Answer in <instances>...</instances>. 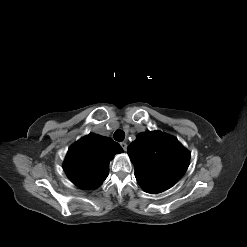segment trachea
I'll return each instance as SVG.
<instances>
[{
    "instance_id": "1",
    "label": "trachea",
    "mask_w": 247,
    "mask_h": 247,
    "mask_svg": "<svg viewBox=\"0 0 247 247\" xmlns=\"http://www.w3.org/2000/svg\"><path fill=\"white\" fill-rule=\"evenodd\" d=\"M124 138H125V133H124V131H122V130H116V131H115V133H114V139H115L116 141L121 142V141L124 140Z\"/></svg>"
}]
</instances>
